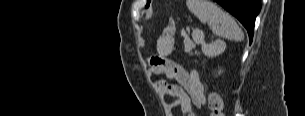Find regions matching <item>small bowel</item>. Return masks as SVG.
<instances>
[{
	"instance_id": "1",
	"label": "small bowel",
	"mask_w": 305,
	"mask_h": 116,
	"mask_svg": "<svg viewBox=\"0 0 305 116\" xmlns=\"http://www.w3.org/2000/svg\"><path fill=\"white\" fill-rule=\"evenodd\" d=\"M173 46L171 38L160 39L157 55L150 58L149 63L153 73L163 74L168 79L176 80L178 84L158 80L155 86L161 93L174 98L169 104L170 109L180 106L183 116H194L193 106L201 108L206 102L204 89L196 70L187 71L182 65L167 58Z\"/></svg>"
}]
</instances>
